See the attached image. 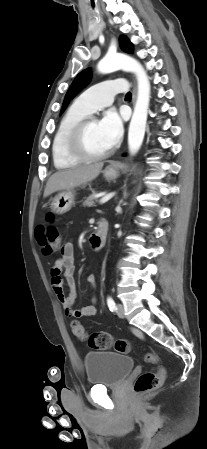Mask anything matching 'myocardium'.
<instances>
[{
  "mask_svg": "<svg viewBox=\"0 0 207 449\" xmlns=\"http://www.w3.org/2000/svg\"><path fill=\"white\" fill-rule=\"evenodd\" d=\"M95 121L92 117H86L71 129L67 138V150L74 158L81 161H98L104 159L112 152L111 147L100 153H92L86 149L84 135L89 125Z\"/></svg>",
  "mask_w": 207,
  "mask_h": 449,
  "instance_id": "1",
  "label": "myocardium"
}]
</instances>
